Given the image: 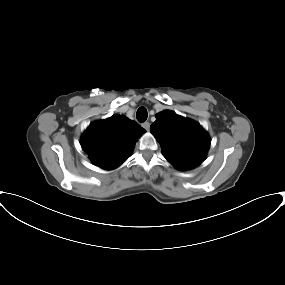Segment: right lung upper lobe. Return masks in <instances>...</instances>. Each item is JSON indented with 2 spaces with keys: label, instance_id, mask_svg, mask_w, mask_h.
I'll return each instance as SVG.
<instances>
[{
  "label": "right lung upper lobe",
  "instance_id": "cb5924a9",
  "mask_svg": "<svg viewBox=\"0 0 285 285\" xmlns=\"http://www.w3.org/2000/svg\"><path fill=\"white\" fill-rule=\"evenodd\" d=\"M145 129L123 115H113L89 125L81 137V147L90 160L105 170L115 169L132 153Z\"/></svg>",
  "mask_w": 285,
  "mask_h": 285
}]
</instances>
